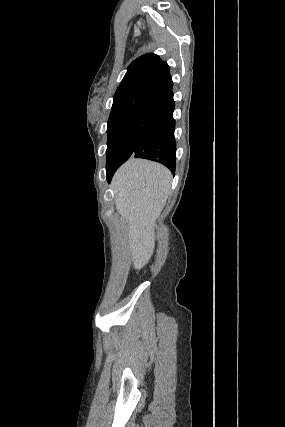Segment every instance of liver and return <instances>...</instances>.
Instances as JSON below:
<instances>
[{
    "label": "liver",
    "instance_id": "obj_1",
    "mask_svg": "<svg viewBox=\"0 0 285 427\" xmlns=\"http://www.w3.org/2000/svg\"><path fill=\"white\" fill-rule=\"evenodd\" d=\"M171 172L159 163L131 158L115 173V206L126 221V235L135 268L149 262L154 249V226L166 203Z\"/></svg>",
    "mask_w": 285,
    "mask_h": 427
}]
</instances>
